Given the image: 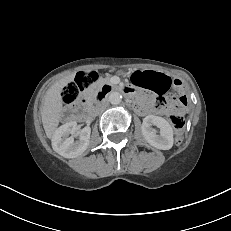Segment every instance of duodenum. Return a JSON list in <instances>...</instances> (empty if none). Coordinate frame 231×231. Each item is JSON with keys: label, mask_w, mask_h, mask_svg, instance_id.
<instances>
[{"label": "duodenum", "mask_w": 231, "mask_h": 231, "mask_svg": "<svg viewBox=\"0 0 231 231\" xmlns=\"http://www.w3.org/2000/svg\"><path fill=\"white\" fill-rule=\"evenodd\" d=\"M114 90V87L108 84H105L102 86V88L100 89V91L94 96L93 101H94V105H97L101 102V100L110 92H112ZM124 93L127 95H131L132 93L130 92L129 89H125ZM142 104H138V108L141 107Z\"/></svg>", "instance_id": "1"}]
</instances>
